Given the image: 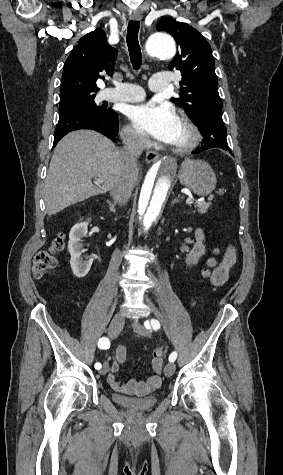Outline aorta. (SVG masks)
<instances>
[{
	"label": "aorta",
	"instance_id": "762f6f07",
	"mask_svg": "<svg viewBox=\"0 0 283 475\" xmlns=\"http://www.w3.org/2000/svg\"><path fill=\"white\" fill-rule=\"evenodd\" d=\"M145 48L151 57L162 59H172L176 53L173 38L165 33L151 35ZM176 169L175 158L166 156L148 170L133 220V229L137 234H147L157 224L173 185Z\"/></svg>",
	"mask_w": 283,
	"mask_h": 475
}]
</instances>
